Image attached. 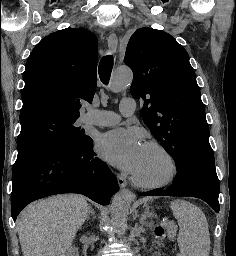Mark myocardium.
<instances>
[{"label": "myocardium", "instance_id": "1", "mask_svg": "<svg viewBox=\"0 0 236 256\" xmlns=\"http://www.w3.org/2000/svg\"><path fill=\"white\" fill-rule=\"evenodd\" d=\"M127 86L128 84L124 85V87H127ZM145 146L150 148H155L164 154L170 166L169 173L160 181L153 182V183L145 182L139 179L136 175L132 173L130 175L131 183L134 186L141 189H145V190L160 189L172 183L176 179L179 173V165L176 158L172 154V152L164 144H162L159 141H148L146 142Z\"/></svg>", "mask_w": 236, "mask_h": 256}]
</instances>
